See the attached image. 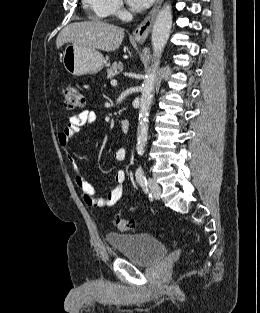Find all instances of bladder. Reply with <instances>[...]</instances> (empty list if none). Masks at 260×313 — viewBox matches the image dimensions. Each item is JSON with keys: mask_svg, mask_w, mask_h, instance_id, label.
I'll use <instances>...</instances> for the list:
<instances>
[{"mask_svg": "<svg viewBox=\"0 0 260 313\" xmlns=\"http://www.w3.org/2000/svg\"><path fill=\"white\" fill-rule=\"evenodd\" d=\"M106 240L124 258L139 266H152L168 254L166 245L149 234L109 233Z\"/></svg>", "mask_w": 260, "mask_h": 313, "instance_id": "bladder-1", "label": "bladder"}]
</instances>
